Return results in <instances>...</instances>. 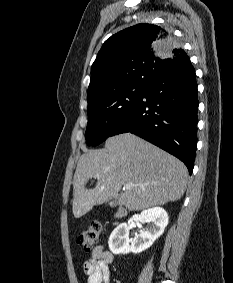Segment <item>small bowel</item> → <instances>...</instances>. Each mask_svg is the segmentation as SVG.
<instances>
[{"mask_svg":"<svg viewBox=\"0 0 233 283\" xmlns=\"http://www.w3.org/2000/svg\"><path fill=\"white\" fill-rule=\"evenodd\" d=\"M112 261V253L103 245L94 247L84 263V272L88 276L87 283H108Z\"/></svg>","mask_w":233,"mask_h":283,"instance_id":"obj_1","label":"small bowel"}]
</instances>
